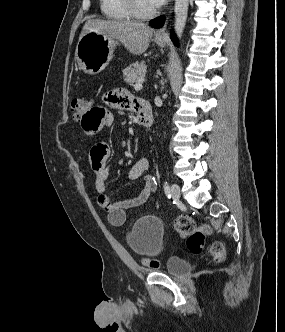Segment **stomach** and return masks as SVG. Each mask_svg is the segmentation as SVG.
<instances>
[{
    "label": "stomach",
    "mask_w": 285,
    "mask_h": 332,
    "mask_svg": "<svg viewBox=\"0 0 285 332\" xmlns=\"http://www.w3.org/2000/svg\"><path fill=\"white\" fill-rule=\"evenodd\" d=\"M155 43L165 46L164 38L155 37ZM117 42L105 35L90 31L83 35L76 47V60L80 69L90 75L100 73L113 56Z\"/></svg>",
    "instance_id": "stomach-1"
}]
</instances>
